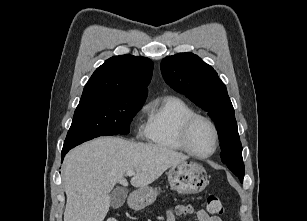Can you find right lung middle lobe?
Segmentation results:
<instances>
[{
  "label": "right lung middle lobe",
  "mask_w": 307,
  "mask_h": 221,
  "mask_svg": "<svg viewBox=\"0 0 307 221\" xmlns=\"http://www.w3.org/2000/svg\"><path fill=\"white\" fill-rule=\"evenodd\" d=\"M145 99L118 95L79 102L62 151L99 136L128 134L130 122Z\"/></svg>",
  "instance_id": "1"
}]
</instances>
